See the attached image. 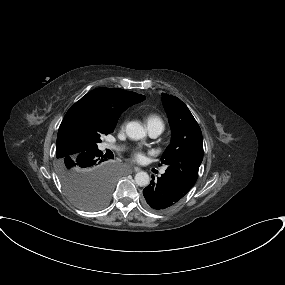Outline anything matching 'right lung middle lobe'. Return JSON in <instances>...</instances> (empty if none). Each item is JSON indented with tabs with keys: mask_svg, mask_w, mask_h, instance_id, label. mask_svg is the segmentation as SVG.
<instances>
[{
	"mask_svg": "<svg viewBox=\"0 0 285 285\" xmlns=\"http://www.w3.org/2000/svg\"><path fill=\"white\" fill-rule=\"evenodd\" d=\"M113 128L80 131L56 151V170L61 184L74 204L85 210H98L109 201L115 176L107 171H92L83 167L77 155L86 150H98L100 137L112 133Z\"/></svg>",
	"mask_w": 285,
	"mask_h": 285,
	"instance_id": "dd1d6c3e",
	"label": "right lung middle lobe"
}]
</instances>
